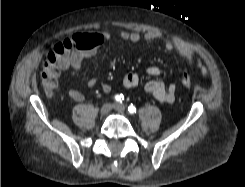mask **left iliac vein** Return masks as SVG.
<instances>
[{"label": "left iliac vein", "instance_id": "1", "mask_svg": "<svg viewBox=\"0 0 245 187\" xmlns=\"http://www.w3.org/2000/svg\"><path fill=\"white\" fill-rule=\"evenodd\" d=\"M113 107L119 113H123L126 110V106L124 104H120V103L114 104Z\"/></svg>", "mask_w": 245, "mask_h": 187}]
</instances>
